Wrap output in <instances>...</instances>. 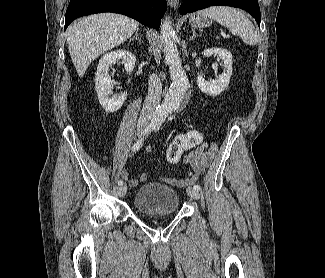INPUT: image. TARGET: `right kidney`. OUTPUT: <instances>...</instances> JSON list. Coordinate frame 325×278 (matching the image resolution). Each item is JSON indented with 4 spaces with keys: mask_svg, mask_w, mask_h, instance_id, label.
Listing matches in <instances>:
<instances>
[{
    "mask_svg": "<svg viewBox=\"0 0 325 278\" xmlns=\"http://www.w3.org/2000/svg\"><path fill=\"white\" fill-rule=\"evenodd\" d=\"M117 60L123 61L124 68L127 72L133 71L136 63L135 55L124 49H118L106 53L100 59L95 76V90L98 94L100 104L108 113H113L119 110L127 97V92H121L112 98L109 97L112 93L113 84L108 71L110 66Z\"/></svg>",
    "mask_w": 325,
    "mask_h": 278,
    "instance_id": "right-kidney-1",
    "label": "right kidney"
}]
</instances>
